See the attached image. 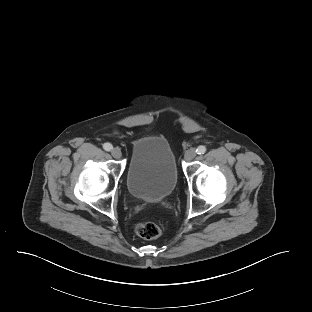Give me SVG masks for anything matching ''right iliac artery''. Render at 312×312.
<instances>
[{
	"instance_id": "right-iliac-artery-1",
	"label": "right iliac artery",
	"mask_w": 312,
	"mask_h": 312,
	"mask_svg": "<svg viewBox=\"0 0 312 312\" xmlns=\"http://www.w3.org/2000/svg\"><path fill=\"white\" fill-rule=\"evenodd\" d=\"M103 148L106 151H110L113 148V146L110 143H104Z\"/></svg>"
}]
</instances>
